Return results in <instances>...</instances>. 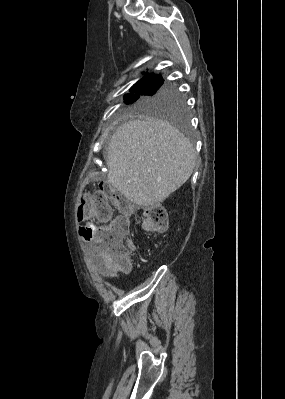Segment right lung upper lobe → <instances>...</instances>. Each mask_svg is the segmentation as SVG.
I'll use <instances>...</instances> for the list:
<instances>
[{
  "instance_id": "1",
  "label": "right lung upper lobe",
  "mask_w": 285,
  "mask_h": 399,
  "mask_svg": "<svg viewBox=\"0 0 285 399\" xmlns=\"http://www.w3.org/2000/svg\"><path fill=\"white\" fill-rule=\"evenodd\" d=\"M162 85L163 79L161 75H156L154 73L147 74L131 88V92H143L146 90L157 88Z\"/></svg>"
}]
</instances>
